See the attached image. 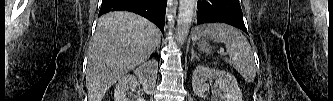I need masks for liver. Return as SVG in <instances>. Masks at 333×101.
Returning <instances> with one entry per match:
<instances>
[{
	"label": "liver",
	"mask_w": 333,
	"mask_h": 101,
	"mask_svg": "<svg viewBox=\"0 0 333 101\" xmlns=\"http://www.w3.org/2000/svg\"><path fill=\"white\" fill-rule=\"evenodd\" d=\"M161 42V32L147 19L127 11L99 18L88 53L89 101H102L124 74L146 61Z\"/></svg>",
	"instance_id": "liver-1"
}]
</instances>
